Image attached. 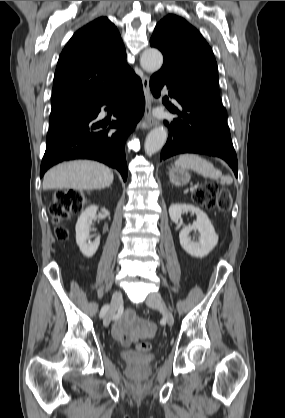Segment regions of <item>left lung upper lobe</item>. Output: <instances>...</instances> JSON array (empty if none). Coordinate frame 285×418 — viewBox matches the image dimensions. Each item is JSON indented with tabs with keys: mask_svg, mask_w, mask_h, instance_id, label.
Masks as SVG:
<instances>
[{
	"mask_svg": "<svg viewBox=\"0 0 285 418\" xmlns=\"http://www.w3.org/2000/svg\"><path fill=\"white\" fill-rule=\"evenodd\" d=\"M150 45L164 57L160 71L186 90L220 102L217 63L208 43L185 19L169 14L157 23Z\"/></svg>",
	"mask_w": 285,
	"mask_h": 418,
	"instance_id": "left-lung-upper-lobe-1",
	"label": "left lung upper lobe"
}]
</instances>
